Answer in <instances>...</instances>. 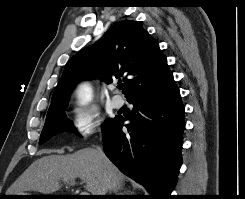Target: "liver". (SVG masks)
<instances>
[{
  "instance_id": "obj_1",
  "label": "liver",
  "mask_w": 245,
  "mask_h": 199,
  "mask_svg": "<svg viewBox=\"0 0 245 199\" xmlns=\"http://www.w3.org/2000/svg\"><path fill=\"white\" fill-rule=\"evenodd\" d=\"M80 178L92 195H100L106 180L111 191L116 192L125 176L108 159L102 158L96 149L83 148L69 155H48L33 162L15 181L9 193L25 191L53 193L60 189V181Z\"/></svg>"
}]
</instances>
